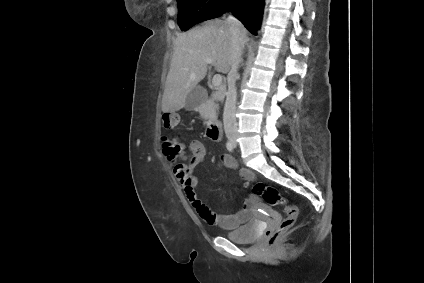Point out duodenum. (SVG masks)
Segmentation results:
<instances>
[{"label":"duodenum","instance_id":"obj_1","mask_svg":"<svg viewBox=\"0 0 424 283\" xmlns=\"http://www.w3.org/2000/svg\"><path fill=\"white\" fill-rule=\"evenodd\" d=\"M207 135L210 139L219 141L222 137V124L219 120L211 118L207 121Z\"/></svg>","mask_w":424,"mask_h":283}]
</instances>
